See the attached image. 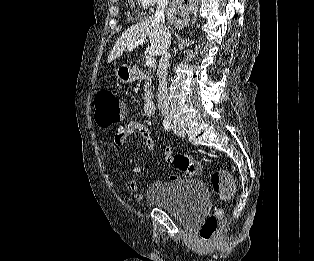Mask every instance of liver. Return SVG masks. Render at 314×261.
<instances>
[{
	"mask_svg": "<svg viewBox=\"0 0 314 261\" xmlns=\"http://www.w3.org/2000/svg\"><path fill=\"white\" fill-rule=\"evenodd\" d=\"M149 39L150 45L146 48V53L151 56H160L171 43L169 30L160 24L155 17H147L140 23L128 28L116 41L111 53L108 56V63L115 61L123 52L139 40Z\"/></svg>",
	"mask_w": 314,
	"mask_h": 261,
	"instance_id": "liver-1",
	"label": "liver"
}]
</instances>
